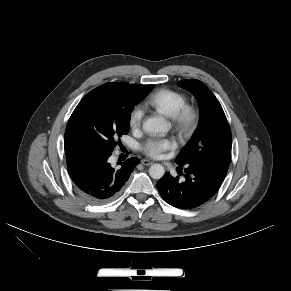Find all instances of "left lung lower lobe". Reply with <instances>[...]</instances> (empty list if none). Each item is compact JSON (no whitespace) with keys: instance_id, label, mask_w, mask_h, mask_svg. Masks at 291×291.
Instances as JSON below:
<instances>
[{"instance_id":"1","label":"left lung lower lobe","mask_w":291,"mask_h":291,"mask_svg":"<svg viewBox=\"0 0 291 291\" xmlns=\"http://www.w3.org/2000/svg\"><path fill=\"white\" fill-rule=\"evenodd\" d=\"M185 167L183 180L166 173L157 183L162 198L180 209H193L207 202L220 188L228 171L203 162Z\"/></svg>"}]
</instances>
